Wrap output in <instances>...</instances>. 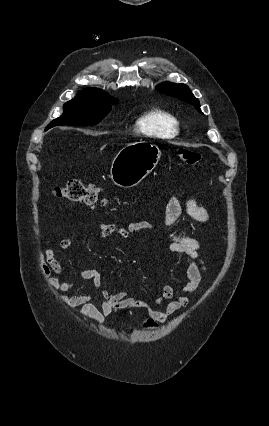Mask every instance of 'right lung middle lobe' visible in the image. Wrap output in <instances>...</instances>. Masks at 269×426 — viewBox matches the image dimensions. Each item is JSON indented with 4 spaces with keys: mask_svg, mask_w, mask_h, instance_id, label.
<instances>
[{
    "mask_svg": "<svg viewBox=\"0 0 269 426\" xmlns=\"http://www.w3.org/2000/svg\"><path fill=\"white\" fill-rule=\"evenodd\" d=\"M111 104H117V100L76 96L64 105V113L49 126L98 124L111 111Z\"/></svg>",
    "mask_w": 269,
    "mask_h": 426,
    "instance_id": "right-lung-middle-lobe-1",
    "label": "right lung middle lobe"
}]
</instances>
